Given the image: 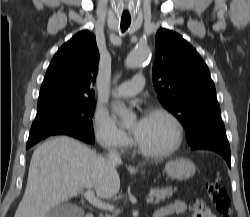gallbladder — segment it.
<instances>
[{
	"instance_id": "1",
	"label": "gallbladder",
	"mask_w": 250,
	"mask_h": 217,
	"mask_svg": "<svg viewBox=\"0 0 250 217\" xmlns=\"http://www.w3.org/2000/svg\"><path fill=\"white\" fill-rule=\"evenodd\" d=\"M84 210L77 205L70 203H61L54 206L49 217H83Z\"/></svg>"
}]
</instances>
